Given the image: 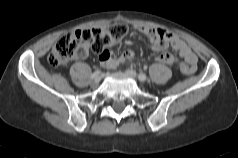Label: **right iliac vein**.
<instances>
[{"label": "right iliac vein", "instance_id": "1", "mask_svg": "<svg viewBox=\"0 0 238 158\" xmlns=\"http://www.w3.org/2000/svg\"><path fill=\"white\" fill-rule=\"evenodd\" d=\"M100 80H101V77H100V76H97V77L94 79V82H95V83H99Z\"/></svg>", "mask_w": 238, "mask_h": 158}]
</instances>
